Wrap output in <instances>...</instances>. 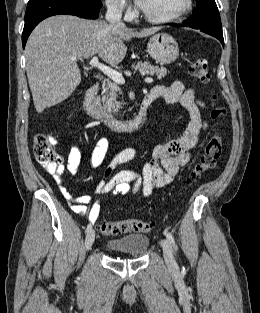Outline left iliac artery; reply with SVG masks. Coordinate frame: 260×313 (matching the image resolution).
Here are the masks:
<instances>
[{
  "label": "left iliac artery",
  "instance_id": "obj_1",
  "mask_svg": "<svg viewBox=\"0 0 260 313\" xmlns=\"http://www.w3.org/2000/svg\"><path fill=\"white\" fill-rule=\"evenodd\" d=\"M165 236L167 237V239L169 240V242L173 245L175 251L177 250V245L175 243V239L172 236V234L170 232H168L167 230L164 231Z\"/></svg>",
  "mask_w": 260,
  "mask_h": 313
}]
</instances>
